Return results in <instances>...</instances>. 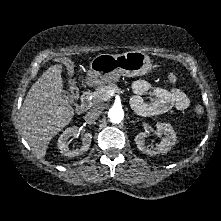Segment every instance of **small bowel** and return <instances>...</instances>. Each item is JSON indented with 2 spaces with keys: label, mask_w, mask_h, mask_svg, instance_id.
I'll use <instances>...</instances> for the list:
<instances>
[{
  "label": "small bowel",
  "mask_w": 221,
  "mask_h": 221,
  "mask_svg": "<svg viewBox=\"0 0 221 221\" xmlns=\"http://www.w3.org/2000/svg\"><path fill=\"white\" fill-rule=\"evenodd\" d=\"M134 96L131 103L133 108L142 114H162L175 107L178 110H186L190 105L188 96L178 88L155 86L145 80H137L132 86ZM150 93L153 101L147 104L142 96Z\"/></svg>",
  "instance_id": "c3829d8e"
}]
</instances>
